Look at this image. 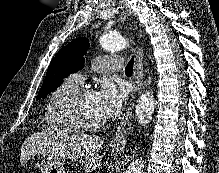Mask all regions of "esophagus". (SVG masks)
Wrapping results in <instances>:
<instances>
[{"label": "esophagus", "instance_id": "obj_1", "mask_svg": "<svg viewBox=\"0 0 219 173\" xmlns=\"http://www.w3.org/2000/svg\"><path fill=\"white\" fill-rule=\"evenodd\" d=\"M144 76L143 58L142 55L137 53L135 58V83H134V95L141 88ZM134 95L132 98H134ZM134 103L130 102L126 107L122 120L117 127L115 134L112 139L114 146H124L126 144L127 133L131 126L133 117Z\"/></svg>", "mask_w": 219, "mask_h": 173}]
</instances>
